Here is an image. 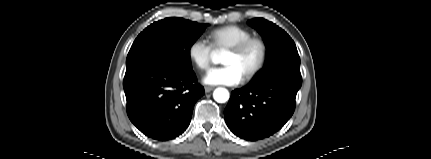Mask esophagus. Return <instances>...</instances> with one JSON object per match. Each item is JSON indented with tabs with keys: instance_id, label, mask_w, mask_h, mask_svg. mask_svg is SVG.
Masks as SVG:
<instances>
[{
	"instance_id": "1",
	"label": "esophagus",
	"mask_w": 431,
	"mask_h": 159,
	"mask_svg": "<svg viewBox=\"0 0 431 159\" xmlns=\"http://www.w3.org/2000/svg\"><path fill=\"white\" fill-rule=\"evenodd\" d=\"M213 89H214V87H209V86H206V87L204 88V90H205V92H206V93L211 92Z\"/></svg>"
}]
</instances>
